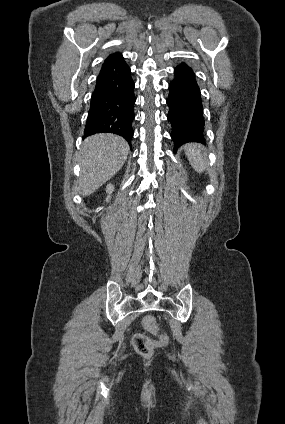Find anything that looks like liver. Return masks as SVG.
<instances>
[{
  "instance_id": "obj_1",
  "label": "liver",
  "mask_w": 285,
  "mask_h": 424,
  "mask_svg": "<svg viewBox=\"0 0 285 424\" xmlns=\"http://www.w3.org/2000/svg\"><path fill=\"white\" fill-rule=\"evenodd\" d=\"M128 152V143L118 135L102 133L88 137L81 147L79 192L87 196L106 183L122 168Z\"/></svg>"
}]
</instances>
